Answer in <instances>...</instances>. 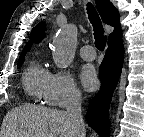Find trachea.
I'll list each match as a JSON object with an SVG mask.
<instances>
[{"mask_svg":"<svg viewBox=\"0 0 144 137\" xmlns=\"http://www.w3.org/2000/svg\"><path fill=\"white\" fill-rule=\"evenodd\" d=\"M87 13L94 28L95 46L98 50L103 51L106 45L107 37L104 35L101 20L91 3L87 4Z\"/></svg>","mask_w":144,"mask_h":137,"instance_id":"obj_1","label":"trachea"}]
</instances>
